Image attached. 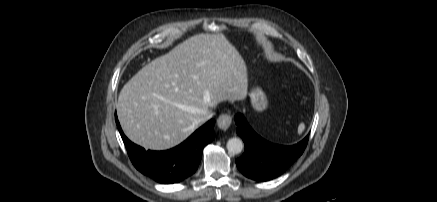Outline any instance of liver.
Masks as SVG:
<instances>
[{"label":"liver","mask_w":437,"mask_h":202,"mask_svg":"<svg viewBox=\"0 0 437 202\" xmlns=\"http://www.w3.org/2000/svg\"><path fill=\"white\" fill-rule=\"evenodd\" d=\"M247 66L223 34H198L139 70L120 91L118 119L126 136L151 150L170 149L217 103L246 98Z\"/></svg>","instance_id":"1"}]
</instances>
